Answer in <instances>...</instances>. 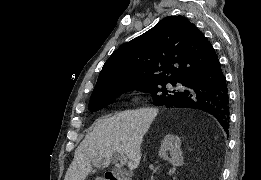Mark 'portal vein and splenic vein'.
Segmentation results:
<instances>
[{"instance_id": "obj_1", "label": "portal vein and splenic vein", "mask_w": 261, "mask_h": 180, "mask_svg": "<svg viewBox=\"0 0 261 180\" xmlns=\"http://www.w3.org/2000/svg\"><path fill=\"white\" fill-rule=\"evenodd\" d=\"M120 162H122V164H123V162H127V158H126V156H122Z\"/></svg>"}]
</instances>
